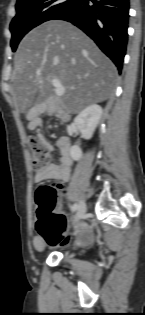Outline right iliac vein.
Returning a JSON list of instances; mask_svg holds the SVG:
<instances>
[{
    "mask_svg": "<svg viewBox=\"0 0 145 315\" xmlns=\"http://www.w3.org/2000/svg\"><path fill=\"white\" fill-rule=\"evenodd\" d=\"M86 213V204L84 201H81L77 210V213L74 217L73 224L78 223Z\"/></svg>",
    "mask_w": 145,
    "mask_h": 315,
    "instance_id": "obj_1",
    "label": "right iliac vein"
}]
</instances>
